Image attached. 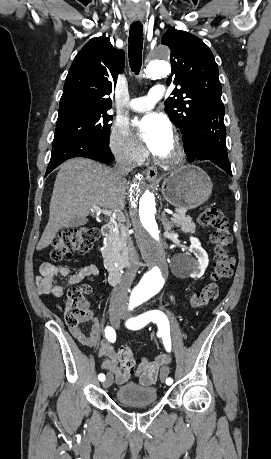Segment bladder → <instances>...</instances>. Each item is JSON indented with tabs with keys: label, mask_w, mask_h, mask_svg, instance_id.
<instances>
[{
	"label": "bladder",
	"mask_w": 271,
	"mask_h": 459,
	"mask_svg": "<svg viewBox=\"0 0 271 459\" xmlns=\"http://www.w3.org/2000/svg\"><path fill=\"white\" fill-rule=\"evenodd\" d=\"M156 402L157 391L153 387L126 382L116 390V404L150 405Z\"/></svg>",
	"instance_id": "bladder-1"
}]
</instances>
